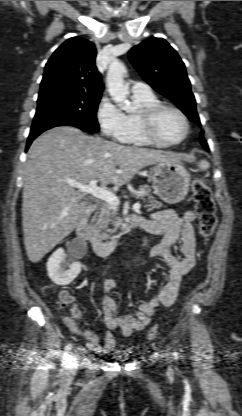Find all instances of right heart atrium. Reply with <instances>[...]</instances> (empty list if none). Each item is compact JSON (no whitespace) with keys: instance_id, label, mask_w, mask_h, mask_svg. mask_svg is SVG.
I'll return each instance as SVG.
<instances>
[{"instance_id":"obj_1","label":"right heart atrium","mask_w":242,"mask_h":416,"mask_svg":"<svg viewBox=\"0 0 242 416\" xmlns=\"http://www.w3.org/2000/svg\"><path fill=\"white\" fill-rule=\"evenodd\" d=\"M96 118L103 134L118 141L123 140L128 129L127 116L108 97L100 100Z\"/></svg>"}]
</instances>
